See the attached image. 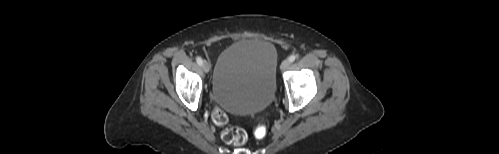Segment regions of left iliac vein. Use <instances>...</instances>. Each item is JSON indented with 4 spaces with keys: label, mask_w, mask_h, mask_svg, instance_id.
<instances>
[{
    "label": "left iliac vein",
    "mask_w": 499,
    "mask_h": 154,
    "mask_svg": "<svg viewBox=\"0 0 499 154\" xmlns=\"http://www.w3.org/2000/svg\"><path fill=\"white\" fill-rule=\"evenodd\" d=\"M290 66V61L288 59H285L283 60V62L281 63V70L284 71L286 70L288 67Z\"/></svg>",
    "instance_id": "obj_1"
}]
</instances>
